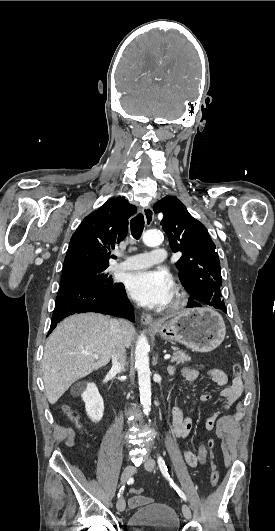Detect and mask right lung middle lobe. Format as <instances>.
Wrapping results in <instances>:
<instances>
[{
	"instance_id": "dd1d6c3e",
	"label": "right lung middle lobe",
	"mask_w": 275,
	"mask_h": 531,
	"mask_svg": "<svg viewBox=\"0 0 275 531\" xmlns=\"http://www.w3.org/2000/svg\"><path fill=\"white\" fill-rule=\"evenodd\" d=\"M107 268L108 266L88 265L65 270L62 274L61 283L72 280H83L99 286L109 287L115 283L111 279L112 276L105 272Z\"/></svg>"
}]
</instances>
